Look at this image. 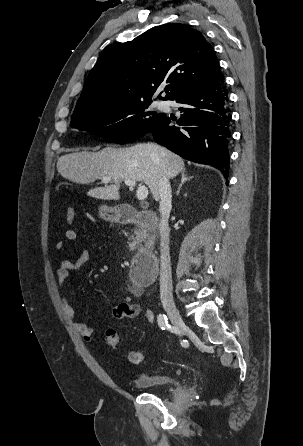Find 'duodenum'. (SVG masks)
Instances as JSON below:
<instances>
[{"label":"duodenum","instance_id":"obj_1","mask_svg":"<svg viewBox=\"0 0 303 446\" xmlns=\"http://www.w3.org/2000/svg\"><path fill=\"white\" fill-rule=\"evenodd\" d=\"M120 223L137 224L144 228L154 229L159 218L153 211H138L132 207H121L116 211ZM158 272V259L151 252L138 253L132 260V279L137 287L151 283Z\"/></svg>","mask_w":303,"mask_h":446}]
</instances>
